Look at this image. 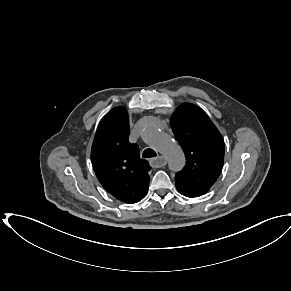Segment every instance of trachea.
I'll return each mask as SVG.
<instances>
[{
  "label": "trachea",
  "mask_w": 291,
  "mask_h": 291,
  "mask_svg": "<svg viewBox=\"0 0 291 291\" xmlns=\"http://www.w3.org/2000/svg\"><path fill=\"white\" fill-rule=\"evenodd\" d=\"M156 156V152L152 149H145L143 154H142V157L143 158H151V157H155Z\"/></svg>",
  "instance_id": "trachea-1"
}]
</instances>
